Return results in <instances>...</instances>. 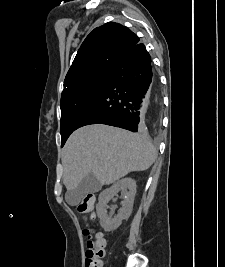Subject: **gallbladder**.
Returning a JSON list of instances; mask_svg holds the SVG:
<instances>
[{"instance_id":"bac80fb5","label":"gallbladder","mask_w":225,"mask_h":267,"mask_svg":"<svg viewBox=\"0 0 225 267\" xmlns=\"http://www.w3.org/2000/svg\"><path fill=\"white\" fill-rule=\"evenodd\" d=\"M102 184L100 181L92 174L86 175L79 185L66 192L65 198L69 205L75 206L79 204L81 199L88 193H95L101 190Z\"/></svg>"}]
</instances>
